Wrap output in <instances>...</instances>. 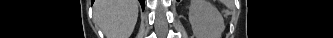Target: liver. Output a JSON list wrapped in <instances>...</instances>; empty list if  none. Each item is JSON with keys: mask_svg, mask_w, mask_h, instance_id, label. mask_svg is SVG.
<instances>
[{"mask_svg": "<svg viewBox=\"0 0 333 38\" xmlns=\"http://www.w3.org/2000/svg\"><path fill=\"white\" fill-rule=\"evenodd\" d=\"M137 0H96L95 21L107 38H129L138 17Z\"/></svg>", "mask_w": 333, "mask_h": 38, "instance_id": "1", "label": "liver"}]
</instances>
